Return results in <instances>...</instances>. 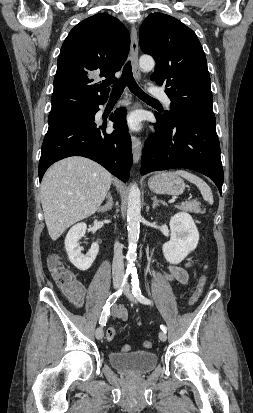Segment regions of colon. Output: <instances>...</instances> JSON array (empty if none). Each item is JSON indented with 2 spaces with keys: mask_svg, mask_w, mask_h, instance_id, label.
<instances>
[{
  "mask_svg": "<svg viewBox=\"0 0 253 413\" xmlns=\"http://www.w3.org/2000/svg\"><path fill=\"white\" fill-rule=\"evenodd\" d=\"M48 268H49V271L53 279L56 281V283L59 286H66L75 279L74 274L63 264L61 259L56 255H52L49 257ZM206 280H207V277L205 273H203L199 278L194 294L189 300V305H194L199 300L204 290ZM115 334H116L115 328L113 326H110L106 332L107 340L108 341L113 340L115 337ZM143 346L146 349H150L152 347V342L149 340H146L144 341ZM129 350H130L129 345H124L122 347L123 352H128Z\"/></svg>",
  "mask_w": 253,
  "mask_h": 413,
  "instance_id": "1",
  "label": "colon"
}]
</instances>
